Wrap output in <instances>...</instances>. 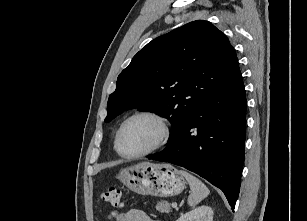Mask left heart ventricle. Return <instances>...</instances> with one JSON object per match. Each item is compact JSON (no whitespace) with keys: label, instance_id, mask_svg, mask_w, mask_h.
<instances>
[{"label":"left heart ventricle","instance_id":"b2bd125f","mask_svg":"<svg viewBox=\"0 0 307 221\" xmlns=\"http://www.w3.org/2000/svg\"><path fill=\"white\" fill-rule=\"evenodd\" d=\"M160 134L158 124L147 117L132 120L125 127L121 139L120 148L126 154H136L150 148Z\"/></svg>","mask_w":307,"mask_h":221}]
</instances>
